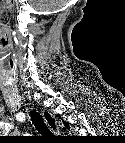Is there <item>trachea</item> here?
<instances>
[{
    "label": "trachea",
    "instance_id": "trachea-1",
    "mask_svg": "<svg viewBox=\"0 0 125 143\" xmlns=\"http://www.w3.org/2000/svg\"><path fill=\"white\" fill-rule=\"evenodd\" d=\"M31 116V120L36 128V130L45 137H53L54 135L52 134V132L49 130V128L47 127V125L45 124L42 116L36 112V111H32L30 113Z\"/></svg>",
    "mask_w": 125,
    "mask_h": 143
}]
</instances>
